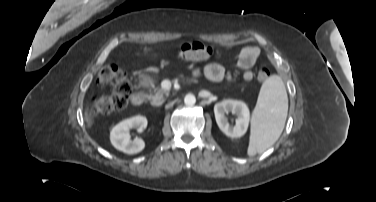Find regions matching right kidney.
Masks as SVG:
<instances>
[{
	"mask_svg": "<svg viewBox=\"0 0 376 202\" xmlns=\"http://www.w3.org/2000/svg\"><path fill=\"white\" fill-rule=\"evenodd\" d=\"M147 126V119L144 116L137 115L125 119L115 125L110 132V141L112 145L127 154H136L141 152L145 143L140 138L130 139V129L135 128L138 131H143Z\"/></svg>",
	"mask_w": 376,
	"mask_h": 202,
	"instance_id": "obj_1",
	"label": "right kidney"
}]
</instances>
